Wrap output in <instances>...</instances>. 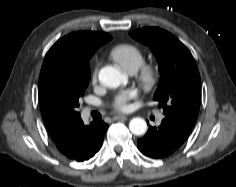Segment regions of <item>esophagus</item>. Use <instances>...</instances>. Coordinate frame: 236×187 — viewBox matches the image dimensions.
Here are the masks:
<instances>
[{
    "mask_svg": "<svg viewBox=\"0 0 236 187\" xmlns=\"http://www.w3.org/2000/svg\"><path fill=\"white\" fill-rule=\"evenodd\" d=\"M127 116L125 115H116L113 117V120H126Z\"/></svg>",
    "mask_w": 236,
    "mask_h": 187,
    "instance_id": "esophagus-1",
    "label": "esophagus"
}]
</instances>
